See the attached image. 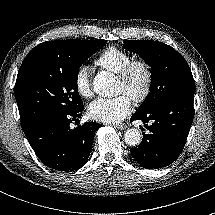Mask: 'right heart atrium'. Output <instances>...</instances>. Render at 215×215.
Segmentation results:
<instances>
[{"mask_svg": "<svg viewBox=\"0 0 215 215\" xmlns=\"http://www.w3.org/2000/svg\"><path fill=\"white\" fill-rule=\"evenodd\" d=\"M74 88L76 93L84 99H89L92 96L91 77L87 67H80L76 70Z\"/></svg>", "mask_w": 215, "mask_h": 215, "instance_id": "1", "label": "right heart atrium"}]
</instances>
